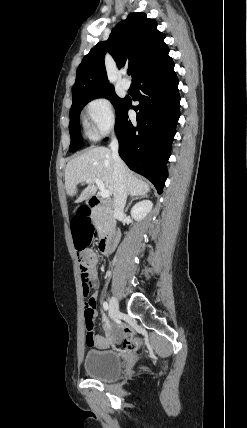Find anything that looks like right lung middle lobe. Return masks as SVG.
Instances as JSON below:
<instances>
[{
	"mask_svg": "<svg viewBox=\"0 0 247 428\" xmlns=\"http://www.w3.org/2000/svg\"><path fill=\"white\" fill-rule=\"evenodd\" d=\"M99 97H104L109 99L115 107L116 114L119 112L121 106L125 102V98L124 99L119 98L115 94L114 89L93 93L73 102L70 109V124H69V132L71 136V143L69 146L70 152L77 151L82 145V138H81L80 129H79V115L81 110L88 102Z\"/></svg>",
	"mask_w": 247,
	"mask_h": 428,
	"instance_id": "1",
	"label": "right lung middle lobe"
}]
</instances>
